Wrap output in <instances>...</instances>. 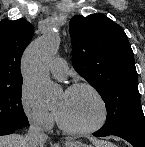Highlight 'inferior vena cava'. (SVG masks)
Masks as SVG:
<instances>
[{"mask_svg": "<svg viewBox=\"0 0 145 147\" xmlns=\"http://www.w3.org/2000/svg\"><path fill=\"white\" fill-rule=\"evenodd\" d=\"M47 135L38 123H32L28 134L25 136L27 147H44Z\"/></svg>", "mask_w": 145, "mask_h": 147, "instance_id": "1", "label": "inferior vena cava"}]
</instances>
